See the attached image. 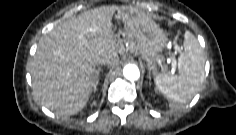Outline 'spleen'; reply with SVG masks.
<instances>
[{"instance_id":"spleen-1","label":"spleen","mask_w":236,"mask_h":135,"mask_svg":"<svg viewBox=\"0 0 236 135\" xmlns=\"http://www.w3.org/2000/svg\"><path fill=\"white\" fill-rule=\"evenodd\" d=\"M184 51L178 58V74L164 70L155 76L159 91L169 100L186 103L199 91L205 77V57L198 40L185 33Z\"/></svg>"}]
</instances>
